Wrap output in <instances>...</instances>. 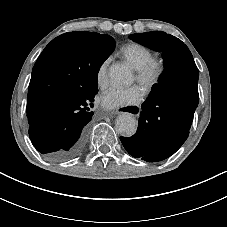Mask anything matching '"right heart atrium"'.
Listing matches in <instances>:
<instances>
[{
	"instance_id": "1",
	"label": "right heart atrium",
	"mask_w": 227,
	"mask_h": 227,
	"mask_svg": "<svg viewBox=\"0 0 227 227\" xmlns=\"http://www.w3.org/2000/svg\"><path fill=\"white\" fill-rule=\"evenodd\" d=\"M110 64V58L104 59L98 66L96 70V83L98 87L104 88L108 85L109 76H108V67Z\"/></svg>"
}]
</instances>
